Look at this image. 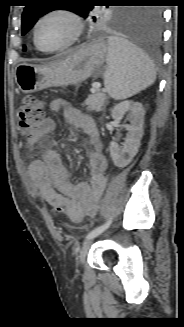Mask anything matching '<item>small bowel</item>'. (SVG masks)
I'll use <instances>...</instances> for the list:
<instances>
[{"label":"small bowel","instance_id":"small-bowel-1","mask_svg":"<svg viewBox=\"0 0 184 327\" xmlns=\"http://www.w3.org/2000/svg\"><path fill=\"white\" fill-rule=\"evenodd\" d=\"M53 112L63 111L66 120L81 128L87 135L92 152L89 159L90 178L84 182H73L61 161L60 155L54 150H46L41 159L33 160L28 167V176L32 187L49 204L61 206L62 211L70 220L79 221L87 209H93L106 186L107 159L104 145L96 129L94 121L73 108L66 100L56 98L51 101ZM56 128L51 117L43 119L28 137L30 146H35L41 138ZM72 166L78 165L77 159L71 160Z\"/></svg>","mask_w":184,"mask_h":327}]
</instances>
